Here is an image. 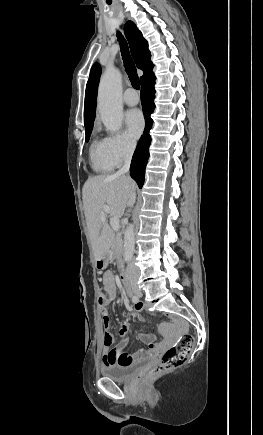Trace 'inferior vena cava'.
Segmentation results:
<instances>
[{
  "mask_svg": "<svg viewBox=\"0 0 263 435\" xmlns=\"http://www.w3.org/2000/svg\"><path fill=\"white\" fill-rule=\"evenodd\" d=\"M134 150H135V144H131V145L128 146V148L126 150V153L124 155V165L117 172V175L122 176V175H125V174H127L129 172L130 163H131V159H132V155H133ZM135 198H136V194H135V191L133 190L129 194L127 205L128 206H132L133 203L135 202ZM126 272H127L128 275L138 274V269L134 265L133 262H130L127 265Z\"/></svg>",
  "mask_w": 263,
  "mask_h": 435,
  "instance_id": "1",
  "label": "inferior vena cava"
}]
</instances>
